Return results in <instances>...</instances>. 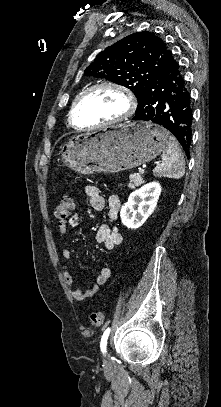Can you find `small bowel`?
Returning a JSON list of instances; mask_svg holds the SVG:
<instances>
[{"mask_svg": "<svg viewBox=\"0 0 221 407\" xmlns=\"http://www.w3.org/2000/svg\"><path fill=\"white\" fill-rule=\"evenodd\" d=\"M85 195L87 196L90 206L101 211L105 208L106 201L101 195L100 189L92 184L84 187ZM108 205V218L112 222H116L119 218L120 199L116 194H111L107 198ZM78 224V217L73 216L68 220H61L58 222V231L61 236H66L70 227L75 228ZM98 244L107 249H112L119 245L122 241V236L119 229L115 225H103L98 230L96 235ZM63 258L65 262L61 266L62 274L66 284L70 287L73 298L77 302L84 301L87 298L93 297L100 289V287L107 283L111 278V268L107 265L102 266L96 278V282L87 290L82 291L75 287V279L70 273L69 261L71 258L70 251L63 250Z\"/></svg>", "mask_w": 221, "mask_h": 407, "instance_id": "obj_1", "label": "small bowel"}]
</instances>
